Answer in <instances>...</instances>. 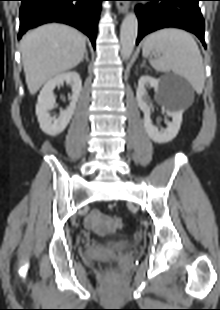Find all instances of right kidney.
I'll list each match as a JSON object with an SVG mask.
<instances>
[{"label":"right kidney","instance_id":"ca27d5eb","mask_svg":"<svg viewBox=\"0 0 220 310\" xmlns=\"http://www.w3.org/2000/svg\"><path fill=\"white\" fill-rule=\"evenodd\" d=\"M64 82L72 87V95L69 97L70 104L66 110L60 112L58 118L51 117L49 111L54 108L56 100L53 90ZM81 90L82 81L76 71L60 73L45 83L40 91L36 105V115L40 128L44 133L56 136L65 130L74 114Z\"/></svg>","mask_w":220,"mask_h":310}]
</instances>
